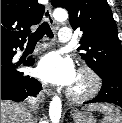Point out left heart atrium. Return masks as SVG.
<instances>
[{
  "label": "left heart atrium",
  "mask_w": 122,
  "mask_h": 123,
  "mask_svg": "<svg viewBox=\"0 0 122 123\" xmlns=\"http://www.w3.org/2000/svg\"><path fill=\"white\" fill-rule=\"evenodd\" d=\"M36 73L46 83L66 87H72L77 77L72 61L57 52H51L42 57Z\"/></svg>",
  "instance_id": "39dd6f15"
}]
</instances>
